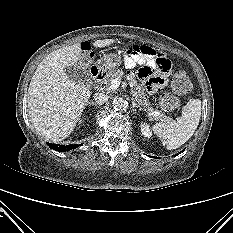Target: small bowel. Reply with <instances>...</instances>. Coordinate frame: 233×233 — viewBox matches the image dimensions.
<instances>
[{
	"mask_svg": "<svg viewBox=\"0 0 233 233\" xmlns=\"http://www.w3.org/2000/svg\"><path fill=\"white\" fill-rule=\"evenodd\" d=\"M82 50L86 59L93 56L91 46L88 43L82 45ZM124 64L127 68L141 66L137 72V77L145 83L151 93L164 87L167 83L166 75L170 70V62L164 55L149 46L132 45L128 47Z\"/></svg>",
	"mask_w": 233,
	"mask_h": 233,
	"instance_id": "obj_1",
	"label": "small bowel"
}]
</instances>
